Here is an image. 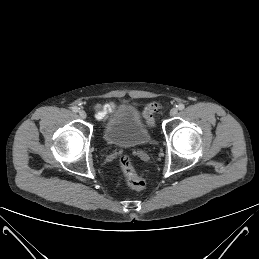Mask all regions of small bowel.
<instances>
[{
  "mask_svg": "<svg viewBox=\"0 0 259 259\" xmlns=\"http://www.w3.org/2000/svg\"><path fill=\"white\" fill-rule=\"evenodd\" d=\"M114 103L97 104L95 106L96 118L98 120H104L114 109Z\"/></svg>",
  "mask_w": 259,
  "mask_h": 259,
  "instance_id": "small-bowel-1",
  "label": "small bowel"
}]
</instances>
